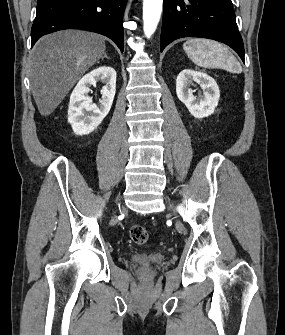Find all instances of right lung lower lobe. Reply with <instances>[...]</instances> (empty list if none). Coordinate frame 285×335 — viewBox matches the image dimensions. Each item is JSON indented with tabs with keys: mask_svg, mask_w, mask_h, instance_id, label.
<instances>
[{
	"mask_svg": "<svg viewBox=\"0 0 285 335\" xmlns=\"http://www.w3.org/2000/svg\"><path fill=\"white\" fill-rule=\"evenodd\" d=\"M127 0H37L32 47L43 35L83 29L109 37L124 49L122 17Z\"/></svg>",
	"mask_w": 285,
	"mask_h": 335,
	"instance_id": "98d812e1",
	"label": "right lung lower lobe"
}]
</instances>
